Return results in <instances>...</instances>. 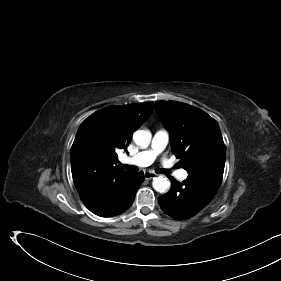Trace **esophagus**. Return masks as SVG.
<instances>
[{
	"label": "esophagus",
	"instance_id": "esophagus-1",
	"mask_svg": "<svg viewBox=\"0 0 281 281\" xmlns=\"http://www.w3.org/2000/svg\"><path fill=\"white\" fill-rule=\"evenodd\" d=\"M156 176H157V174L154 173V172H151V171H146L144 173V177H145L146 180H150L152 178H155Z\"/></svg>",
	"mask_w": 281,
	"mask_h": 281
}]
</instances>
